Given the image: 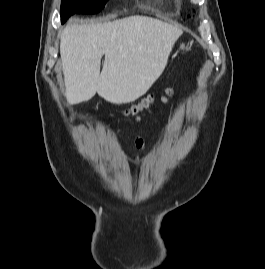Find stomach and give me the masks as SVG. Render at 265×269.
<instances>
[{"label":"stomach","mask_w":265,"mask_h":269,"mask_svg":"<svg viewBox=\"0 0 265 269\" xmlns=\"http://www.w3.org/2000/svg\"><path fill=\"white\" fill-rule=\"evenodd\" d=\"M187 48L188 47L185 45V43H181L179 46V50H181V51H185V50H187Z\"/></svg>","instance_id":"obj_1"}]
</instances>
